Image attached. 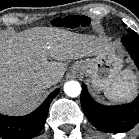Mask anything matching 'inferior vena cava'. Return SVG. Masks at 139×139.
I'll return each mask as SVG.
<instances>
[{
  "instance_id": "602c4592",
  "label": "inferior vena cava",
  "mask_w": 139,
  "mask_h": 139,
  "mask_svg": "<svg viewBox=\"0 0 139 139\" xmlns=\"http://www.w3.org/2000/svg\"><path fill=\"white\" fill-rule=\"evenodd\" d=\"M55 84V80L53 77H50V76H45V77H42L40 80H39V83L38 85L42 88V89H45V88H48L50 87L51 85Z\"/></svg>"
}]
</instances>
